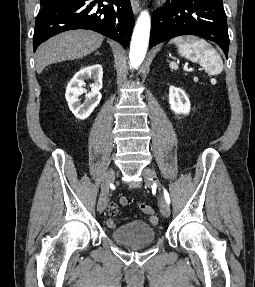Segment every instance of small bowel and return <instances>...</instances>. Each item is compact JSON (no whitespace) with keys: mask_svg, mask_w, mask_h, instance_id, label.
Wrapping results in <instances>:
<instances>
[{"mask_svg":"<svg viewBox=\"0 0 255 287\" xmlns=\"http://www.w3.org/2000/svg\"><path fill=\"white\" fill-rule=\"evenodd\" d=\"M119 203L123 206L128 204V199L126 197H121ZM118 213V204L112 202L107 207V215L109 218L106 221L108 228L113 229L116 227L117 223L114 220V217ZM148 221L151 225H156L158 223V217L155 215L149 216Z\"/></svg>","mask_w":255,"mask_h":287,"instance_id":"1","label":"small bowel"}]
</instances>
